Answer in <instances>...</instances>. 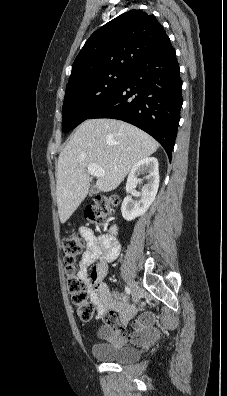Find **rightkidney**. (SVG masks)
I'll list each match as a JSON object with an SVG mask.
<instances>
[{
  "mask_svg": "<svg viewBox=\"0 0 227 396\" xmlns=\"http://www.w3.org/2000/svg\"><path fill=\"white\" fill-rule=\"evenodd\" d=\"M140 175H145L144 179L146 180V184L142 188L141 200L137 202L127 195L122 203V216L127 221L145 214L155 200L159 187L158 160L154 157H146L132 167L126 184L127 193L133 194L134 188L141 181L138 178Z\"/></svg>",
  "mask_w": 227,
  "mask_h": 396,
  "instance_id": "right-kidney-1",
  "label": "right kidney"
}]
</instances>
